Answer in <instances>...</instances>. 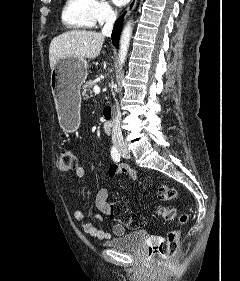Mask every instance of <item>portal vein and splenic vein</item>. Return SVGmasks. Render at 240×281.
Wrapping results in <instances>:
<instances>
[{
	"mask_svg": "<svg viewBox=\"0 0 240 281\" xmlns=\"http://www.w3.org/2000/svg\"><path fill=\"white\" fill-rule=\"evenodd\" d=\"M93 90H94L95 94H99L100 93V87L97 86V85L94 86Z\"/></svg>",
	"mask_w": 240,
	"mask_h": 281,
	"instance_id": "18ae733b",
	"label": "portal vein and splenic vein"
}]
</instances>
